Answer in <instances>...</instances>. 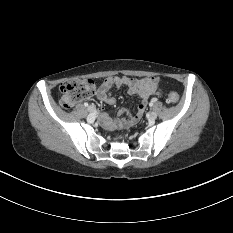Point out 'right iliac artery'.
<instances>
[{"label": "right iliac artery", "mask_w": 233, "mask_h": 233, "mask_svg": "<svg viewBox=\"0 0 233 233\" xmlns=\"http://www.w3.org/2000/svg\"><path fill=\"white\" fill-rule=\"evenodd\" d=\"M84 106H85V107H87V106H88V103H87V102H85V103H84Z\"/></svg>", "instance_id": "82829eb1"}]
</instances>
